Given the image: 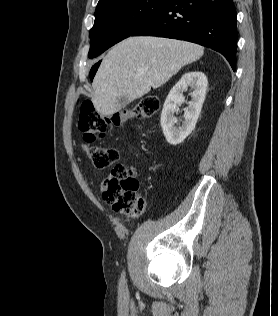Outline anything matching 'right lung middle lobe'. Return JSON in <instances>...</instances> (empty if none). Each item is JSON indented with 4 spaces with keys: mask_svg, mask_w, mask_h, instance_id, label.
Instances as JSON below:
<instances>
[{
    "mask_svg": "<svg viewBox=\"0 0 278 316\" xmlns=\"http://www.w3.org/2000/svg\"><path fill=\"white\" fill-rule=\"evenodd\" d=\"M165 0H107L97 5L90 30L88 57L94 58L117 42L132 36L162 7ZM97 68H92L93 78Z\"/></svg>",
    "mask_w": 278,
    "mask_h": 316,
    "instance_id": "obj_1",
    "label": "right lung middle lobe"
}]
</instances>
